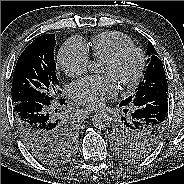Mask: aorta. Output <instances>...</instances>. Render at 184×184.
Listing matches in <instances>:
<instances>
[{"label":"aorta","instance_id":"762f6f07","mask_svg":"<svg viewBox=\"0 0 184 184\" xmlns=\"http://www.w3.org/2000/svg\"><path fill=\"white\" fill-rule=\"evenodd\" d=\"M88 69L92 73H97L99 71V67L96 62H91ZM92 123L97 129L104 130L110 126L111 117L106 112H97L92 117Z\"/></svg>","mask_w":184,"mask_h":184}]
</instances>
